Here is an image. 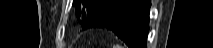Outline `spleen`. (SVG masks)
I'll list each match as a JSON object with an SVG mask.
<instances>
[{
    "instance_id": "1",
    "label": "spleen",
    "mask_w": 213,
    "mask_h": 48,
    "mask_svg": "<svg viewBox=\"0 0 213 48\" xmlns=\"http://www.w3.org/2000/svg\"><path fill=\"white\" fill-rule=\"evenodd\" d=\"M113 48H123V47L121 45H119V44H114Z\"/></svg>"
}]
</instances>
